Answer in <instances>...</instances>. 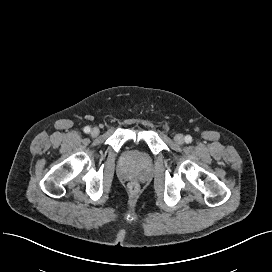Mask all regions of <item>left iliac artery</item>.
I'll use <instances>...</instances> for the list:
<instances>
[{"mask_svg": "<svg viewBox=\"0 0 272 272\" xmlns=\"http://www.w3.org/2000/svg\"><path fill=\"white\" fill-rule=\"evenodd\" d=\"M185 142H186V143H191V142H192V137H191L190 135H187V136L185 137Z\"/></svg>", "mask_w": 272, "mask_h": 272, "instance_id": "obj_1", "label": "left iliac artery"}]
</instances>
